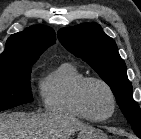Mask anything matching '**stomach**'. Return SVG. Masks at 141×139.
Masks as SVG:
<instances>
[{"instance_id":"0dacf381","label":"stomach","mask_w":141,"mask_h":139,"mask_svg":"<svg viewBox=\"0 0 141 139\" xmlns=\"http://www.w3.org/2000/svg\"><path fill=\"white\" fill-rule=\"evenodd\" d=\"M77 139H108V138L100 130L95 129L93 127H89V128L80 130L78 133Z\"/></svg>"}]
</instances>
